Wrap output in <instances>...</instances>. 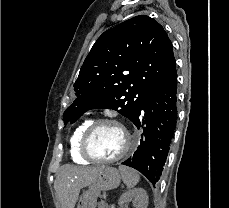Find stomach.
I'll return each mask as SVG.
<instances>
[{
    "instance_id": "obj_1",
    "label": "stomach",
    "mask_w": 229,
    "mask_h": 208,
    "mask_svg": "<svg viewBox=\"0 0 229 208\" xmlns=\"http://www.w3.org/2000/svg\"><path fill=\"white\" fill-rule=\"evenodd\" d=\"M100 176L90 184L88 190H84L81 194L77 208H96L97 198L102 190H114L118 188L121 180L119 170L105 166L103 172H99Z\"/></svg>"
}]
</instances>
